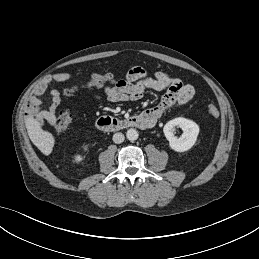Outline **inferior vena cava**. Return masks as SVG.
Here are the masks:
<instances>
[{"mask_svg": "<svg viewBox=\"0 0 259 259\" xmlns=\"http://www.w3.org/2000/svg\"><path fill=\"white\" fill-rule=\"evenodd\" d=\"M125 137L122 133H115L113 135V142L116 143V144H120L124 141Z\"/></svg>", "mask_w": 259, "mask_h": 259, "instance_id": "inferior-vena-cava-1", "label": "inferior vena cava"}]
</instances>
